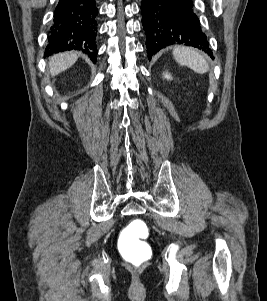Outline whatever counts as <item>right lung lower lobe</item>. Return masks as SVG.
Here are the masks:
<instances>
[{
  "instance_id": "obj_1",
  "label": "right lung lower lobe",
  "mask_w": 267,
  "mask_h": 301,
  "mask_svg": "<svg viewBox=\"0 0 267 301\" xmlns=\"http://www.w3.org/2000/svg\"><path fill=\"white\" fill-rule=\"evenodd\" d=\"M97 14L96 0H59L45 56L65 50H81L96 62Z\"/></svg>"
}]
</instances>
